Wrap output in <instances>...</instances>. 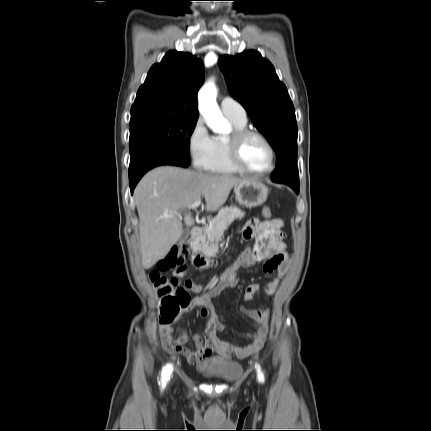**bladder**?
Instances as JSON below:
<instances>
[{
  "instance_id": "1",
  "label": "bladder",
  "mask_w": 431,
  "mask_h": 431,
  "mask_svg": "<svg viewBox=\"0 0 431 431\" xmlns=\"http://www.w3.org/2000/svg\"><path fill=\"white\" fill-rule=\"evenodd\" d=\"M241 372V366L236 362H225L203 372L208 379L229 382L235 380Z\"/></svg>"
}]
</instances>
